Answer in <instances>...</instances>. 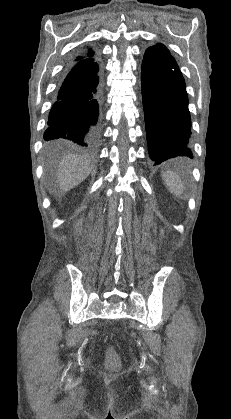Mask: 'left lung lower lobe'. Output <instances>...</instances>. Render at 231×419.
Instances as JSON below:
<instances>
[{
    "label": "left lung lower lobe",
    "instance_id": "obj_1",
    "mask_svg": "<svg viewBox=\"0 0 231 419\" xmlns=\"http://www.w3.org/2000/svg\"><path fill=\"white\" fill-rule=\"evenodd\" d=\"M141 85L147 144L154 164L176 157L192 158L188 96L175 59L146 50Z\"/></svg>",
    "mask_w": 231,
    "mask_h": 419
}]
</instances>
